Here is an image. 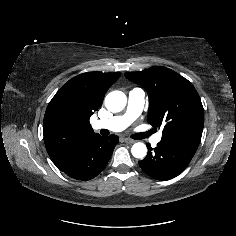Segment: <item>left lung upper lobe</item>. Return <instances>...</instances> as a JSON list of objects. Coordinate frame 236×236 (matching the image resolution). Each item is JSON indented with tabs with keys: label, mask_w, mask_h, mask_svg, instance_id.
<instances>
[{
	"label": "left lung upper lobe",
	"mask_w": 236,
	"mask_h": 236,
	"mask_svg": "<svg viewBox=\"0 0 236 236\" xmlns=\"http://www.w3.org/2000/svg\"><path fill=\"white\" fill-rule=\"evenodd\" d=\"M125 77L147 91V121L164 125L161 140H201L204 110L191 82L162 66L125 73Z\"/></svg>",
	"instance_id": "obj_1"
}]
</instances>
